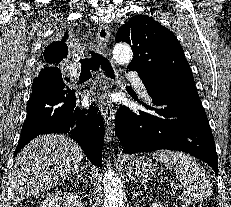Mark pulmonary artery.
<instances>
[{
  "mask_svg": "<svg viewBox=\"0 0 231 207\" xmlns=\"http://www.w3.org/2000/svg\"><path fill=\"white\" fill-rule=\"evenodd\" d=\"M71 75L75 76V73L73 72ZM129 78L137 90L142 91V92L145 90L144 83L139 76H137L136 74L130 73Z\"/></svg>",
  "mask_w": 231,
  "mask_h": 207,
  "instance_id": "obj_1",
  "label": "pulmonary artery"
}]
</instances>
